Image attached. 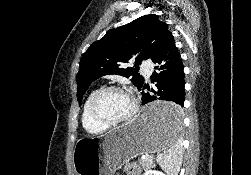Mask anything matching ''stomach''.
<instances>
[{"label":"stomach","mask_w":251,"mask_h":175,"mask_svg":"<svg viewBox=\"0 0 251 175\" xmlns=\"http://www.w3.org/2000/svg\"><path fill=\"white\" fill-rule=\"evenodd\" d=\"M171 100H154V105L142 107L136 119L111 129L104 135H84L75 143L72 153L76 175H113L124 163L139 154H155L170 148L169 141H177L181 134V114Z\"/></svg>","instance_id":"obj_1"}]
</instances>
